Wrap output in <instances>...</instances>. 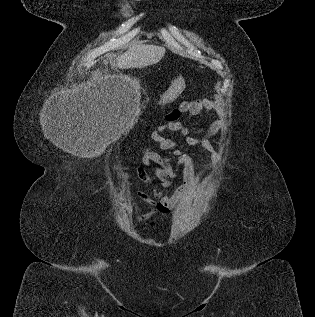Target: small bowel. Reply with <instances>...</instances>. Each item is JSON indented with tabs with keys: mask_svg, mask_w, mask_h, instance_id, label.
<instances>
[{
	"mask_svg": "<svg viewBox=\"0 0 315 317\" xmlns=\"http://www.w3.org/2000/svg\"><path fill=\"white\" fill-rule=\"evenodd\" d=\"M204 111H214L217 115H222V110L213 100L205 98L198 101H184L165 116L164 125L152 132V139L159 144L162 150L171 151V157H164L148 148L142 151L144 167H137L136 174L141 181L152 186V194L138 192L137 197L153 206L151 211L137 215L134 219L142 229L154 228L157 223L150 221L151 217L155 214L168 215L174 209L176 202L192 187L190 180L193 170L192 158L178 148L175 140L162 136L163 131L179 132L185 138L188 146L203 148L211 153L213 160L217 159L218 152L211 139L225 130L224 119L218 118L211 122L201 137L190 135L186 126L179 121L180 116L184 113L197 116ZM180 171L185 176L184 182L172 195H166V189L172 185Z\"/></svg>",
	"mask_w": 315,
	"mask_h": 317,
	"instance_id": "c3829d8e",
	"label": "small bowel"
}]
</instances>
